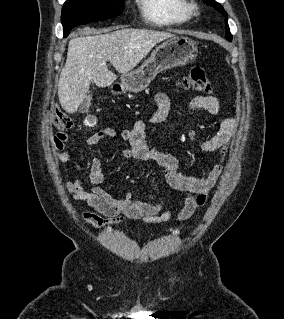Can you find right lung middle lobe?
<instances>
[{
  "label": "right lung middle lobe",
  "mask_w": 284,
  "mask_h": 319,
  "mask_svg": "<svg viewBox=\"0 0 284 319\" xmlns=\"http://www.w3.org/2000/svg\"><path fill=\"white\" fill-rule=\"evenodd\" d=\"M123 9V0H66L61 15L64 36L75 26L117 16Z\"/></svg>",
  "instance_id": "dd1d6c3e"
}]
</instances>
